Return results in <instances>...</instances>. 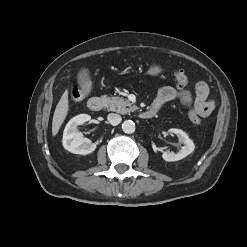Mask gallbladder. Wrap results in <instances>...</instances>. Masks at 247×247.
Instances as JSON below:
<instances>
[{
  "mask_svg": "<svg viewBox=\"0 0 247 247\" xmlns=\"http://www.w3.org/2000/svg\"><path fill=\"white\" fill-rule=\"evenodd\" d=\"M90 80L89 71L86 68H82L78 73V82L85 83Z\"/></svg>",
  "mask_w": 247,
  "mask_h": 247,
  "instance_id": "obj_1",
  "label": "gallbladder"
}]
</instances>
